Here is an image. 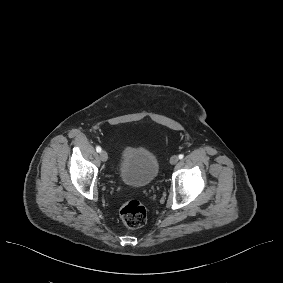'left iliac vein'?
I'll use <instances>...</instances> for the list:
<instances>
[{
	"mask_svg": "<svg viewBox=\"0 0 283 283\" xmlns=\"http://www.w3.org/2000/svg\"><path fill=\"white\" fill-rule=\"evenodd\" d=\"M179 160V157L177 155H173L171 158H170V163L172 165L176 164Z\"/></svg>",
	"mask_w": 283,
	"mask_h": 283,
	"instance_id": "1",
	"label": "left iliac vein"
}]
</instances>
